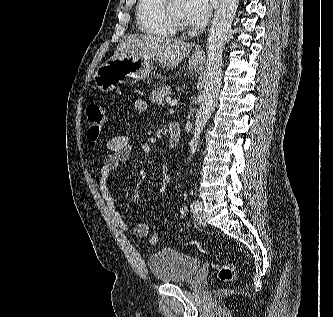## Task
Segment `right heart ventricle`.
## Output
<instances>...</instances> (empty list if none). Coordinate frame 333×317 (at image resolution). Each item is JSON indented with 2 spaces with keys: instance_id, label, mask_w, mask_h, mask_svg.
Wrapping results in <instances>:
<instances>
[{
  "instance_id": "obj_1",
  "label": "right heart ventricle",
  "mask_w": 333,
  "mask_h": 317,
  "mask_svg": "<svg viewBox=\"0 0 333 317\" xmlns=\"http://www.w3.org/2000/svg\"><path fill=\"white\" fill-rule=\"evenodd\" d=\"M162 0H138L136 22L138 29L152 37L171 38L176 32L169 27L162 14Z\"/></svg>"
}]
</instances>
